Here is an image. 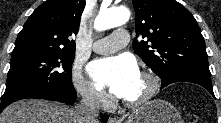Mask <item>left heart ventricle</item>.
<instances>
[{"label": "left heart ventricle", "mask_w": 221, "mask_h": 123, "mask_svg": "<svg viewBox=\"0 0 221 123\" xmlns=\"http://www.w3.org/2000/svg\"><path fill=\"white\" fill-rule=\"evenodd\" d=\"M148 88L149 81L139 73L129 86L122 99L128 101L138 100L147 92Z\"/></svg>", "instance_id": "obj_1"}]
</instances>
